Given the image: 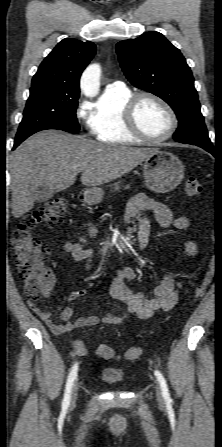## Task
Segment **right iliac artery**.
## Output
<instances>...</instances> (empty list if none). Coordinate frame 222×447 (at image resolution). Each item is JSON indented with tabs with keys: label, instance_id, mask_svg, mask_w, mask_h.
Listing matches in <instances>:
<instances>
[{
	"label": "right iliac artery",
	"instance_id": "1",
	"mask_svg": "<svg viewBox=\"0 0 222 447\" xmlns=\"http://www.w3.org/2000/svg\"><path fill=\"white\" fill-rule=\"evenodd\" d=\"M77 370H78V364H74L70 374L68 376L67 382H66V389H65V394H64V399L62 402V406L67 408L69 406L70 403V398H71V389L73 386V382L77 376Z\"/></svg>",
	"mask_w": 222,
	"mask_h": 447
}]
</instances>
